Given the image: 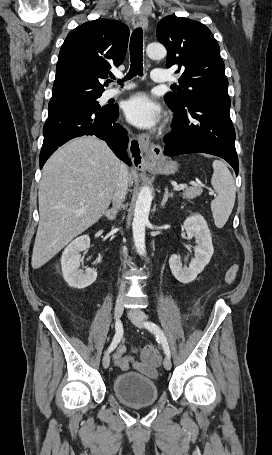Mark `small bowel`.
Returning <instances> with one entry per match:
<instances>
[{"label": "small bowel", "mask_w": 272, "mask_h": 455, "mask_svg": "<svg viewBox=\"0 0 272 455\" xmlns=\"http://www.w3.org/2000/svg\"><path fill=\"white\" fill-rule=\"evenodd\" d=\"M238 272V266H230L224 276L225 282L230 284L232 283ZM126 347L124 345H119L117 350L113 355L114 364L122 371H128L130 368H133L149 377L155 378L157 376V371L153 365L148 363H141L134 360L133 357L125 355Z\"/></svg>", "instance_id": "c3829d8e"}]
</instances>
